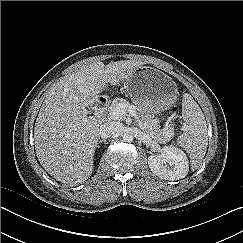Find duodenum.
Returning <instances> with one entry per match:
<instances>
[{
  "label": "duodenum",
  "mask_w": 243,
  "mask_h": 243,
  "mask_svg": "<svg viewBox=\"0 0 243 243\" xmlns=\"http://www.w3.org/2000/svg\"><path fill=\"white\" fill-rule=\"evenodd\" d=\"M109 104V100L106 96L99 95L95 102H94V108L95 111L99 116L103 115V113L106 111Z\"/></svg>",
  "instance_id": "410a0bca"
}]
</instances>
